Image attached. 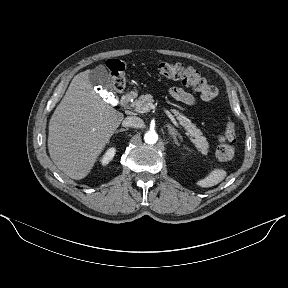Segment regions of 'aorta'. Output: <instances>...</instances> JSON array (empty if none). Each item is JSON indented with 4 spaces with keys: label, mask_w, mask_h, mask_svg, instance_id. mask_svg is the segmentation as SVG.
Here are the masks:
<instances>
[{
    "label": "aorta",
    "mask_w": 288,
    "mask_h": 288,
    "mask_svg": "<svg viewBox=\"0 0 288 288\" xmlns=\"http://www.w3.org/2000/svg\"><path fill=\"white\" fill-rule=\"evenodd\" d=\"M144 140L147 144H155L158 140V135L156 132L154 131H148L145 135H144Z\"/></svg>",
    "instance_id": "aorta-1"
}]
</instances>
